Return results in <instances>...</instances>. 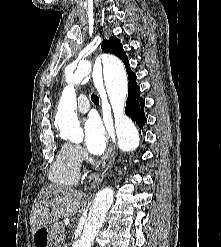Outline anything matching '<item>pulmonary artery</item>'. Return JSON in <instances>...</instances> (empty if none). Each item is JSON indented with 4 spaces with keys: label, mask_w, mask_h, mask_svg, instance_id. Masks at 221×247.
I'll list each match as a JSON object with an SVG mask.
<instances>
[{
    "label": "pulmonary artery",
    "mask_w": 221,
    "mask_h": 247,
    "mask_svg": "<svg viewBox=\"0 0 221 247\" xmlns=\"http://www.w3.org/2000/svg\"><path fill=\"white\" fill-rule=\"evenodd\" d=\"M77 107L81 113H86L89 110V100L85 95L79 96L77 100Z\"/></svg>",
    "instance_id": "pulmonary-artery-1"
}]
</instances>
